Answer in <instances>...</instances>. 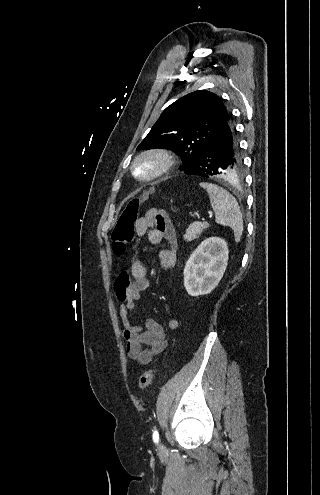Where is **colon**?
Wrapping results in <instances>:
<instances>
[{
	"instance_id": "1",
	"label": "colon",
	"mask_w": 320,
	"mask_h": 495,
	"mask_svg": "<svg viewBox=\"0 0 320 495\" xmlns=\"http://www.w3.org/2000/svg\"><path fill=\"white\" fill-rule=\"evenodd\" d=\"M146 199V194L132 197L127 201L124 209L121 211L112 232V247L116 255H123L132 240L139 209ZM154 373L155 369L151 368L140 376L138 381L140 389L144 390L151 384Z\"/></svg>"
}]
</instances>
